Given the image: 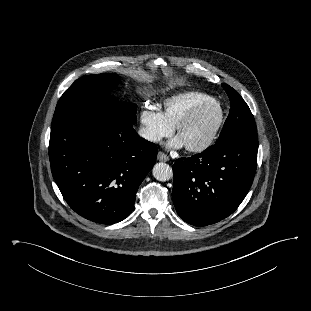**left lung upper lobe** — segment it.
I'll return each mask as SVG.
<instances>
[{
    "mask_svg": "<svg viewBox=\"0 0 311 311\" xmlns=\"http://www.w3.org/2000/svg\"><path fill=\"white\" fill-rule=\"evenodd\" d=\"M229 96L231 109L217 139V145L236 138H257L254 117L243 98L229 85L222 84Z\"/></svg>",
    "mask_w": 311,
    "mask_h": 311,
    "instance_id": "left-lung-upper-lobe-1",
    "label": "left lung upper lobe"
}]
</instances>
